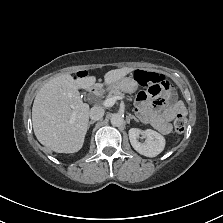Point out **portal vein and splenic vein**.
<instances>
[{
  "mask_svg": "<svg viewBox=\"0 0 223 223\" xmlns=\"http://www.w3.org/2000/svg\"><path fill=\"white\" fill-rule=\"evenodd\" d=\"M120 99V96H113L111 98H107V100L105 101V105L108 107H112Z\"/></svg>",
  "mask_w": 223,
  "mask_h": 223,
  "instance_id": "18ae733b",
  "label": "portal vein and splenic vein"
}]
</instances>
